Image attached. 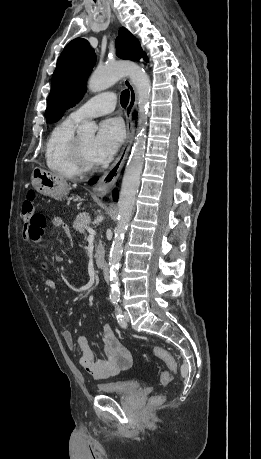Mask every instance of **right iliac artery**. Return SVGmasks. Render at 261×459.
<instances>
[{"label": "right iliac artery", "instance_id": "82829eb1", "mask_svg": "<svg viewBox=\"0 0 261 459\" xmlns=\"http://www.w3.org/2000/svg\"><path fill=\"white\" fill-rule=\"evenodd\" d=\"M112 303H113V304H117V303H118V300H112Z\"/></svg>", "mask_w": 261, "mask_h": 459}]
</instances>
